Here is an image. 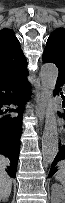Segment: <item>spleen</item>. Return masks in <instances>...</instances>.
I'll return each mask as SVG.
<instances>
[{"instance_id": "obj_1", "label": "spleen", "mask_w": 65, "mask_h": 203, "mask_svg": "<svg viewBox=\"0 0 65 203\" xmlns=\"http://www.w3.org/2000/svg\"><path fill=\"white\" fill-rule=\"evenodd\" d=\"M55 179L58 180L62 185L65 184V165L63 162L59 166Z\"/></svg>"}]
</instances>
